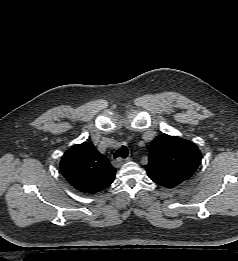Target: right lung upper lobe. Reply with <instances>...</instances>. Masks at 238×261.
I'll return each instance as SVG.
<instances>
[{
	"mask_svg": "<svg viewBox=\"0 0 238 261\" xmlns=\"http://www.w3.org/2000/svg\"><path fill=\"white\" fill-rule=\"evenodd\" d=\"M60 168L66 180L78 191L95 194L114 180L116 169L90 142L75 145L62 156Z\"/></svg>",
	"mask_w": 238,
	"mask_h": 261,
	"instance_id": "right-lung-upper-lobe-1",
	"label": "right lung upper lobe"
}]
</instances>
